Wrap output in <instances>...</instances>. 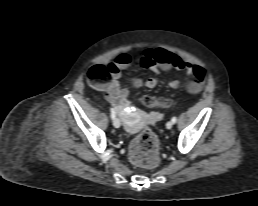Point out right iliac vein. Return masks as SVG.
<instances>
[{"instance_id":"63e3f726","label":"right iliac vein","mask_w":258,"mask_h":206,"mask_svg":"<svg viewBox=\"0 0 258 206\" xmlns=\"http://www.w3.org/2000/svg\"><path fill=\"white\" fill-rule=\"evenodd\" d=\"M113 125L115 128H119L120 127V121L118 118H114L113 119Z\"/></svg>"}]
</instances>
